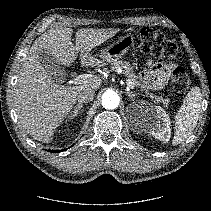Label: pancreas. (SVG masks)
<instances>
[{
	"label": "pancreas",
	"mask_w": 211,
	"mask_h": 211,
	"mask_svg": "<svg viewBox=\"0 0 211 211\" xmlns=\"http://www.w3.org/2000/svg\"><path fill=\"white\" fill-rule=\"evenodd\" d=\"M117 69H122L123 73L127 76V78L130 79L135 86L138 85V81H137L138 76L135 74V72L133 70V66L130 63L123 62L120 60L114 61L111 64V70L116 71ZM146 94L149 95L150 98H154L157 102L163 103L164 106L168 105V102H169L168 99H165L162 96H157V95H155L153 93H149V92H146Z\"/></svg>",
	"instance_id": "pancreas-1"
}]
</instances>
